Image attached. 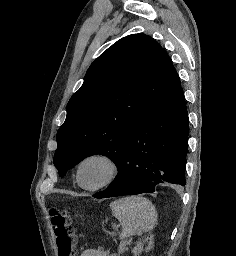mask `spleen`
Returning <instances> with one entry per match:
<instances>
[{
  "mask_svg": "<svg viewBox=\"0 0 236 256\" xmlns=\"http://www.w3.org/2000/svg\"><path fill=\"white\" fill-rule=\"evenodd\" d=\"M110 208L113 216L123 226L122 234L124 238L141 236L142 232H149L157 220L155 206L146 198H142V196H131V198L115 200V202H111ZM141 250V244H137L132 252L134 256H140ZM82 256H114V254L101 252V250H87Z\"/></svg>",
  "mask_w": 236,
  "mask_h": 256,
  "instance_id": "spleen-1",
  "label": "spleen"
}]
</instances>
